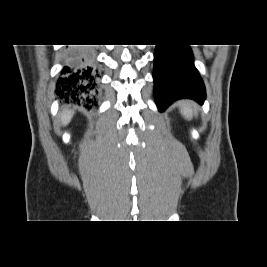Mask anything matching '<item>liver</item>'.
I'll return each instance as SVG.
<instances>
[{
    "mask_svg": "<svg viewBox=\"0 0 267 267\" xmlns=\"http://www.w3.org/2000/svg\"><path fill=\"white\" fill-rule=\"evenodd\" d=\"M73 114L74 112L71 111V110H67V111H64L62 114H61V122L63 125H67L72 117H73Z\"/></svg>",
    "mask_w": 267,
    "mask_h": 267,
    "instance_id": "obj_1",
    "label": "liver"
}]
</instances>
